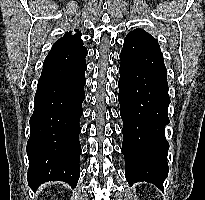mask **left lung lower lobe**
I'll return each mask as SVG.
<instances>
[{
    "instance_id": "1",
    "label": "left lung lower lobe",
    "mask_w": 205,
    "mask_h": 200,
    "mask_svg": "<svg viewBox=\"0 0 205 200\" xmlns=\"http://www.w3.org/2000/svg\"><path fill=\"white\" fill-rule=\"evenodd\" d=\"M118 82L125 177L130 184L153 183L163 191L168 176L165 125L169 124L167 70L153 37L125 38Z\"/></svg>"
}]
</instances>
